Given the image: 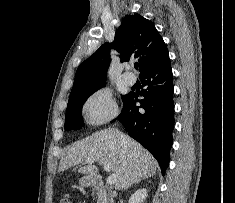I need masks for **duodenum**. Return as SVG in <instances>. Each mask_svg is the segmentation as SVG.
<instances>
[{
  "instance_id": "duodenum-1",
  "label": "duodenum",
  "mask_w": 235,
  "mask_h": 203,
  "mask_svg": "<svg viewBox=\"0 0 235 203\" xmlns=\"http://www.w3.org/2000/svg\"><path fill=\"white\" fill-rule=\"evenodd\" d=\"M91 183L96 188H103L104 187V183H103L102 179L97 176L92 177Z\"/></svg>"
}]
</instances>
